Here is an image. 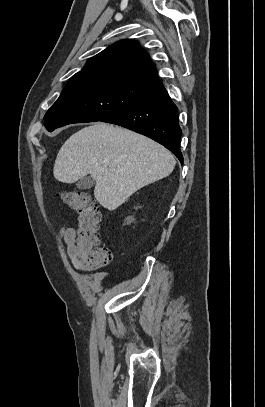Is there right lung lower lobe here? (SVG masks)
Returning a JSON list of instances; mask_svg holds the SVG:
<instances>
[{
	"label": "right lung lower lobe",
	"mask_w": 265,
	"mask_h": 407,
	"mask_svg": "<svg viewBox=\"0 0 265 407\" xmlns=\"http://www.w3.org/2000/svg\"><path fill=\"white\" fill-rule=\"evenodd\" d=\"M145 135L165 146L183 164L178 109L163 85L133 107L103 120Z\"/></svg>",
	"instance_id": "right-lung-lower-lobe-1"
}]
</instances>
